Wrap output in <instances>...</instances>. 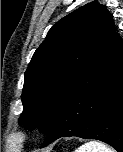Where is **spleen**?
Returning a JSON list of instances; mask_svg holds the SVG:
<instances>
[{"mask_svg": "<svg viewBox=\"0 0 123 152\" xmlns=\"http://www.w3.org/2000/svg\"><path fill=\"white\" fill-rule=\"evenodd\" d=\"M75 152H113V150L103 143L90 141L78 147Z\"/></svg>", "mask_w": 123, "mask_h": 152, "instance_id": "3e777b00", "label": "spleen"}]
</instances>
